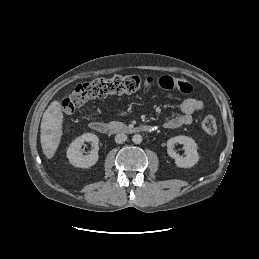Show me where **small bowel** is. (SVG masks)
<instances>
[{"instance_id":"c3829d8e","label":"small bowel","mask_w":259,"mask_h":259,"mask_svg":"<svg viewBox=\"0 0 259 259\" xmlns=\"http://www.w3.org/2000/svg\"><path fill=\"white\" fill-rule=\"evenodd\" d=\"M203 103L193 97L185 98L180 104V114L168 119L164 123L166 129H176L182 126H190L194 121V113L203 109ZM126 112H121L118 115L123 116Z\"/></svg>"}]
</instances>
